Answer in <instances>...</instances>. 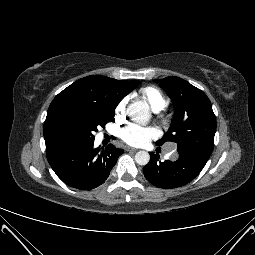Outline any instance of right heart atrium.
Masks as SVG:
<instances>
[{"label":"right heart atrium","mask_w":255,"mask_h":255,"mask_svg":"<svg viewBox=\"0 0 255 255\" xmlns=\"http://www.w3.org/2000/svg\"><path fill=\"white\" fill-rule=\"evenodd\" d=\"M125 106H126V100L123 99V100H121V101L117 104V106H116V108H115V114H116L117 116H121V115L124 113Z\"/></svg>","instance_id":"right-heart-atrium-1"}]
</instances>
